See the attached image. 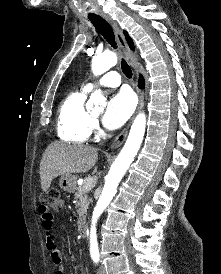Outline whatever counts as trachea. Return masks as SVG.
Here are the masks:
<instances>
[{"label": "trachea", "mask_w": 221, "mask_h": 274, "mask_svg": "<svg viewBox=\"0 0 221 274\" xmlns=\"http://www.w3.org/2000/svg\"><path fill=\"white\" fill-rule=\"evenodd\" d=\"M89 20L106 41L116 49L115 36L111 26L102 17L97 15L89 16ZM121 69L127 78H132V70L124 59L121 61Z\"/></svg>", "instance_id": "1"}]
</instances>
